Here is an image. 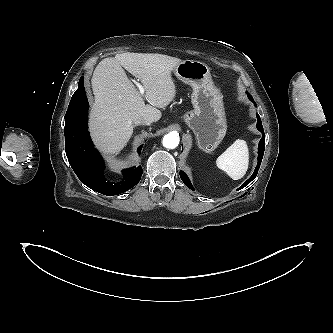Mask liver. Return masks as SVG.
I'll return each instance as SVG.
<instances>
[{"label":"liver","instance_id":"1","mask_svg":"<svg viewBox=\"0 0 333 333\" xmlns=\"http://www.w3.org/2000/svg\"><path fill=\"white\" fill-rule=\"evenodd\" d=\"M181 59L163 54L122 53L103 59L95 68L91 84L95 101L90 130L96 146L105 154L120 152L133 134L134 121L146 117L157 122L163 108L175 98L171 71ZM124 67L145 88L142 95L127 77Z\"/></svg>","mask_w":333,"mask_h":333}]
</instances>
